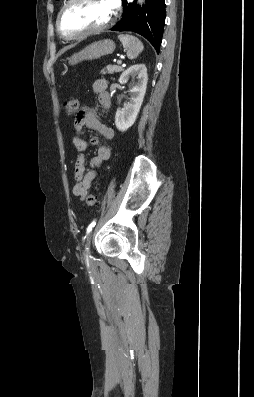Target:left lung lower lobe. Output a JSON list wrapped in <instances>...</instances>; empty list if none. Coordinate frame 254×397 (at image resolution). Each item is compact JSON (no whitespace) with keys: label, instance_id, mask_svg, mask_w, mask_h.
<instances>
[{"label":"left lung lower lobe","instance_id":"1","mask_svg":"<svg viewBox=\"0 0 254 397\" xmlns=\"http://www.w3.org/2000/svg\"><path fill=\"white\" fill-rule=\"evenodd\" d=\"M124 11L114 31H134L144 36L159 53L165 24V0H146L140 8L136 1L127 3L122 0Z\"/></svg>","mask_w":254,"mask_h":397}]
</instances>
